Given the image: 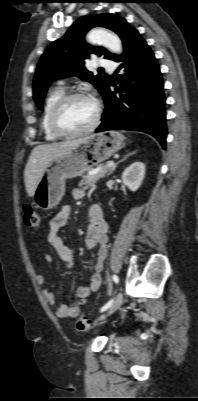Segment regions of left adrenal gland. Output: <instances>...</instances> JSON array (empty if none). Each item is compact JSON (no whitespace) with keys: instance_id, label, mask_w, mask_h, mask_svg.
Segmentation results:
<instances>
[{"instance_id":"obj_1","label":"left adrenal gland","mask_w":198,"mask_h":401,"mask_svg":"<svg viewBox=\"0 0 198 401\" xmlns=\"http://www.w3.org/2000/svg\"><path fill=\"white\" fill-rule=\"evenodd\" d=\"M135 153H136V151H134V152H132V153H129V154L126 155L123 159H121L119 162H117V163L113 166V168L111 169V171L108 173V176L111 175V174L114 172V170L116 169V167L118 166L119 163L125 161L128 157L132 156V155L135 154Z\"/></svg>"}]
</instances>
